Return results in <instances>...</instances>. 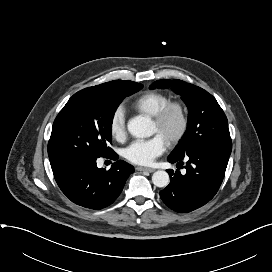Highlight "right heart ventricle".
Returning a JSON list of instances; mask_svg holds the SVG:
<instances>
[{"label":"right heart ventricle","instance_id":"1","mask_svg":"<svg viewBox=\"0 0 272 272\" xmlns=\"http://www.w3.org/2000/svg\"><path fill=\"white\" fill-rule=\"evenodd\" d=\"M170 101V97L160 91H146L131 103L138 113L152 117L162 106Z\"/></svg>","mask_w":272,"mask_h":272}]
</instances>
